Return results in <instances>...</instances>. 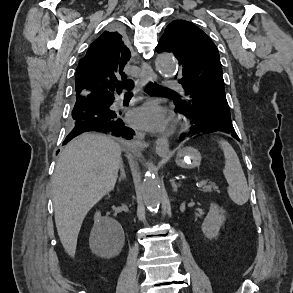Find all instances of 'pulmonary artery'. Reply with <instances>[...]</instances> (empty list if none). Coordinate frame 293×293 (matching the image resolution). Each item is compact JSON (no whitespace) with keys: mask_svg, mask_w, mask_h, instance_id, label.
Segmentation results:
<instances>
[{"mask_svg":"<svg viewBox=\"0 0 293 293\" xmlns=\"http://www.w3.org/2000/svg\"><path fill=\"white\" fill-rule=\"evenodd\" d=\"M165 85L167 86L168 89L170 90H180L181 86L178 83L172 82V81H166Z\"/></svg>","mask_w":293,"mask_h":293,"instance_id":"obj_1","label":"pulmonary artery"}]
</instances>
